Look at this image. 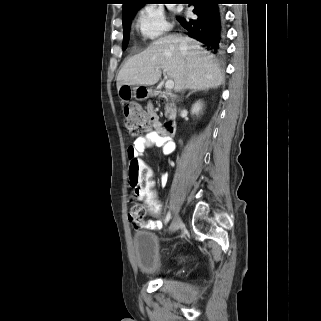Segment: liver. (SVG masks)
Returning a JSON list of instances; mask_svg holds the SVG:
<instances>
[{
  "instance_id": "obj_1",
  "label": "liver",
  "mask_w": 321,
  "mask_h": 321,
  "mask_svg": "<svg viewBox=\"0 0 321 321\" xmlns=\"http://www.w3.org/2000/svg\"><path fill=\"white\" fill-rule=\"evenodd\" d=\"M161 69L174 80L177 92L216 88L224 81L218 64L198 41L168 35L128 59L118 74L117 89L123 85H154L161 77Z\"/></svg>"
}]
</instances>
